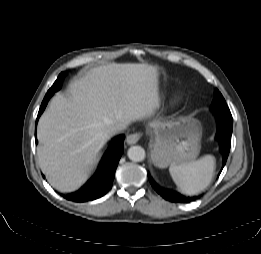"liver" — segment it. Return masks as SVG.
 Segmentation results:
<instances>
[{"instance_id":"liver-1","label":"liver","mask_w":261,"mask_h":254,"mask_svg":"<svg viewBox=\"0 0 261 254\" xmlns=\"http://www.w3.org/2000/svg\"><path fill=\"white\" fill-rule=\"evenodd\" d=\"M159 106L156 68L109 64L74 79L38 123V162L49 183L67 193L87 179L113 125L151 116Z\"/></svg>"}]
</instances>
